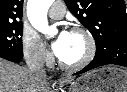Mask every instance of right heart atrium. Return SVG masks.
<instances>
[{
  "label": "right heart atrium",
  "instance_id": "right-heart-atrium-1",
  "mask_svg": "<svg viewBox=\"0 0 127 92\" xmlns=\"http://www.w3.org/2000/svg\"><path fill=\"white\" fill-rule=\"evenodd\" d=\"M22 47L28 64L41 67L50 63L51 56L36 33L31 31L24 32Z\"/></svg>",
  "mask_w": 127,
  "mask_h": 92
}]
</instances>
